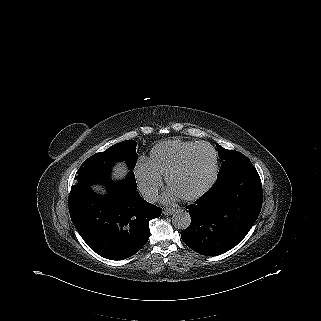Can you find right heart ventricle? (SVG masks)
Instances as JSON below:
<instances>
[{
    "instance_id": "obj_1",
    "label": "right heart ventricle",
    "mask_w": 321,
    "mask_h": 321,
    "mask_svg": "<svg viewBox=\"0 0 321 321\" xmlns=\"http://www.w3.org/2000/svg\"><path fill=\"white\" fill-rule=\"evenodd\" d=\"M196 144L183 140L162 141L151 149L147 160L153 171L163 177Z\"/></svg>"
}]
</instances>
